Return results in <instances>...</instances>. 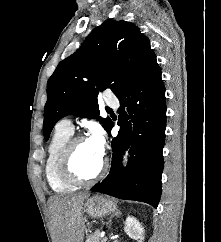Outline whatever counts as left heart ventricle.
I'll return each instance as SVG.
<instances>
[{
    "instance_id": "obj_1",
    "label": "left heart ventricle",
    "mask_w": 221,
    "mask_h": 242,
    "mask_svg": "<svg viewBox=\"0 0 221 242\" xmlns=\"http://www.w3.org/2000/svg\"><path fill=\"white\" fill-rule=\"evenodd\" d=\"M102 158L103 156L97 154L88 141L84 140L76 146L73 166L79 175L90 177L98 171Z\"/></svg>"
}]
</instances>
